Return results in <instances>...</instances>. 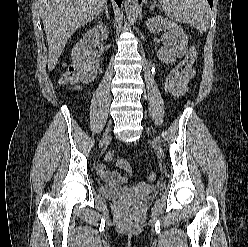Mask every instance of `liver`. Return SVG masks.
Listing matches in <instances>:
<instances>
[{
  "label": "liver",
  "mask_w": 248,
  "mask_h": 247,
  "mask_svg": "<svg viewBox=\"0 0 248 247\" xmlns=\"http://www.w3.org/2000/svg\"><path fill=\"white\" fill-rule=\"evenodd\" d=\"M107 0H38L48 41V69L52 71L73 33L93 20Z\"/></svg>",
  "instance_id": "obj_1"
}]
</instances>
